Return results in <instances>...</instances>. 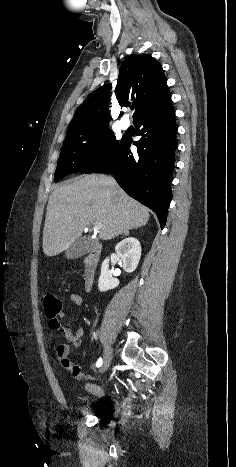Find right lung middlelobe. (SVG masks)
Returning <instances> with one entry per match:
<instances>
[{"label":"right lung middle lobe","instance_id":"obj_1","mask_svg":"<svg viewBox=\"0 0 236 467\" xmlns=\"http://www.w3.org/2000/svg\"><path fill=\"white\" fill-rule=\"evenodd\" d=\"M125 139L117 140L108 127L67 134L58 159L55 181L70 173H93L117 154Z\"/></svg>","mask_w":236,"mask_h":467}]
</instances>
